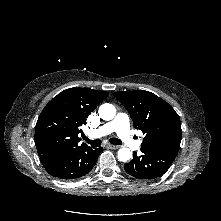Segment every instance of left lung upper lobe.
<instances>
[{
    "label": "left lung upper lobe",
    "instance_id": "5c2ea615",
    "mask_svg": "<svg viewBox=\"0 0 221 221\" xmlns=\"http://www.w3.org/2000/svg\"><path fill=\"white\" fill-rule=\"evenodd\" d=\"M128 110L133 125L145 135L142 147L177 155L181 142V123L178 114L164 100L144 91L115 92Z\"/></svg>",
    "mask_w": 221,
    "mask_h": 221
}]
</instances>
